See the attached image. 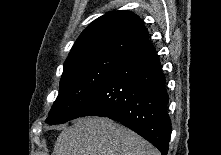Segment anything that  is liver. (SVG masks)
Masks as SVG:
<instances>
[{
    "label": "liver",
    "instance_id": "liver-1",
    "mask_svg": "<svg viewBox=\"0 0 221 155\" xmlns=\"http://www.w3.org/2000/svg\"><path fill=\"white\" fill-rule=\"evenodd\" d=\"M53 155H159L132 130L101 117L80 118L57 138Z\"/></svg>",
    "mask_w": 221,
    "mask_h": 155
}]
</instances>
